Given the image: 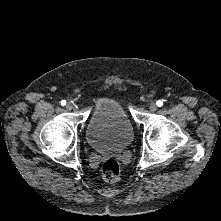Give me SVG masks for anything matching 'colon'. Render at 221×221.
<instances>
[{
    "mask_svg": "<svg viewBox=\"0 0 221 221\" xmlns=\"http://www.w3.org/2000/svg\"><path fill=\"white\" fill-rule=\"evenodd\" d=\"M101 174L107 182H117L120 177L119 162L114 158L106 159L101 166Z\"/></svg>",
    "mask_w": 221,
    "mask_h": 221,
    "instance_id": "colon-1",
    "label": "colon"
}]
</instances>
